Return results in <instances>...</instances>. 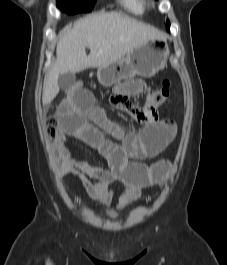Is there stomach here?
I'll return each instance as SVG.
<instances>
[{
  "label": "stomach",
  "instance_id": "0dacf381",
  "mask_svg": "<svg viewBox=\"0 0 227 265\" xmlns=\"http://www.w3.org/2000/svg\"><path fill=\"white\" fill-rule=\"evenodd\" d=\"M168 45L163 40H150L134 47L126 57L118 62L97 71L98 81L106 87L115 85L117 81L139 75L144 78L153 77L167 64Z\"/></svg>",
  "mask_w": 227,
  "mask_h": 265
}]
</instances>
